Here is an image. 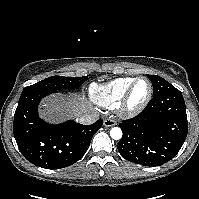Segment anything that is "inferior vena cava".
<instances>
[{"label": "inferior vena cava", "mask_w": 199, "mask_h": 199, "mask_svg": "<svg viewBox=\"0 0 199 199\" xmlns=\"http://www.w3.org/2000/svg\"><path fill=\"white\" fill-rule=\"evenodd\" d=\"M98 119H99V113L95 110H92L77 118V121L83 125H90L93 124Z\"/></svg>", "instance_id": "inferior-vena-cava-1"}]
</instances>
